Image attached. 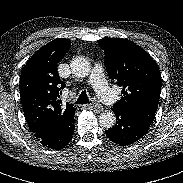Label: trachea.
<instances>
[{"label": "trachea", "instance_id": "trachea-1", "mask_svg": "<svg viewBox=\"0 0 183 183\" xmlns=\"http://www.w3.org/2000/svg\"><path fill=\"white\" fill-rule=\"evenodd\" d=\"M76 104H86V103H91V101H89L88 96L86 91H82L81 94L79 95L78 99L75 102Z\"/></svg>", "mask_w": 183, "mask_h": 183}]
</instances>
